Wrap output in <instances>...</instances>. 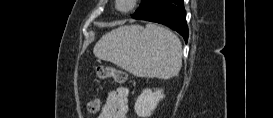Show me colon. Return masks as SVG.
<instances>
[{
  "label": "colon",
  "instance_id": "colon-1",
  "mask_svg": "<svg viewBox=\"0 0 273 118\" xmlns=\"http://www.w3.org/2000/svg\"><path fill=\"white\" fill-rule=\"evenodd\" d=\"M96 75L99 79L112 78L119 84L125 83L127 75L124 71L116 69L108 65H98L96 67ZM101 101L94 99L88 102L87 109L90 113H97L100 110Z\"/></svg>",
  "mask_w": 273,
  "mask_h": 118
}]
</instances>
